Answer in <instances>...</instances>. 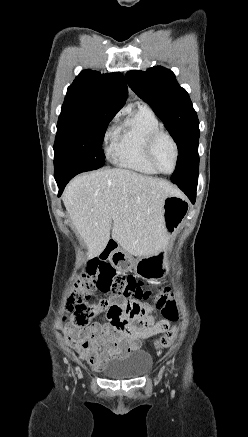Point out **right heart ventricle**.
<instances>
[{
  "mask_svg": "<svg viewBox=\"0 0 248 437\" xmlns=\"http://www.w3.org/2000/svg\"><path fill=\"white\" fill-rule=\"evenodd\" d=\"M160 127L159 119L150 108L138 106L116 128L111 147L113 161L123 168L156 175L158 172L148 162L145 147L150 134Z\"/></svg>",
  "mask_w": 248,
  "mask_h": 437,
  "instance_id": "1",
  "label": "right heart ventricle"
}]
</instances>
